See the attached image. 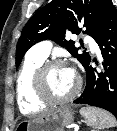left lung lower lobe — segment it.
I'll return each mask as SVG.
<instances>
[{"label": "left lung lower lobe", "mask_w": 117, "mask_h": 131, "mask_svg": "<svg viewBox=\"0 0 117 131\" xmlns=\"http://www.w3.org/2000/svg\"><path fill=\"white\" fill-rule=\"evenodd\" d=\"M95 41L100 46L102 66L93 68L90 58L83 65L86 86L74 103L103 108L117 118V10L112 1L104 12Z\"/></svg>", "instance_id": "left-lung-lower-lobe-1"}]
</instances>
